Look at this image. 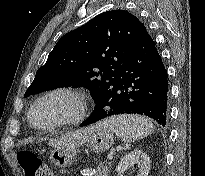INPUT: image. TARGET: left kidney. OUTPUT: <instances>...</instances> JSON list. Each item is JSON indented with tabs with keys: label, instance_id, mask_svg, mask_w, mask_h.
I'll list each match as a JSON object with an SVG mask.
<instances>
[{
	"label": "left kidney",
	"instance_id": "left-kidney-1",
	"mask_svg": "<svg viewBox=\"0 0 205 176\" xmlns=\"http://www.w3.org/2000/svg\"><path fill=\"white\" fill-rule=\"evenodd\" d=\"M136 165L138 168L136 176H148L150 170V158L141 150L135 149L126 154L116 167L117 176H123L124 172Z\"/></svg>",
	"mask_w": 205,
	"mask_h": 176
}]
</instances>
